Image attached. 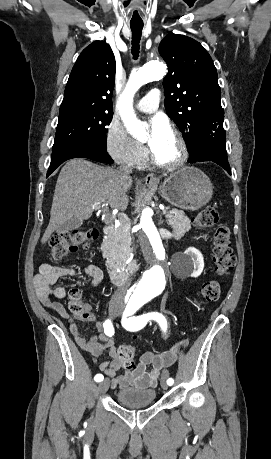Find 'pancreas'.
Segmentation results:
<instances>
[{"mask_svg": "<svg viewBox=\"0 0 271 459\" xmlns=\"http://www.w3.org/2000/svg\"><path fill=\"white\" fill-rule=\"evenodd\" d=\"M165 214L174 215L168 219V224L172 226L174 237H182L186 231L191 229L190 220L185 216L183 210H170V212H165ZM118 220L120 222L119 228L115 229L113 233H108L107 239L101 245L103 257L125 256L127 254L125 247H130L131 245V222L129 218L120 216Z\"/></svg>", "mask_w": 271, "mask_h": 459, "instance_id": "cf45deb5", "label": "pancreas"}]
</instances>
